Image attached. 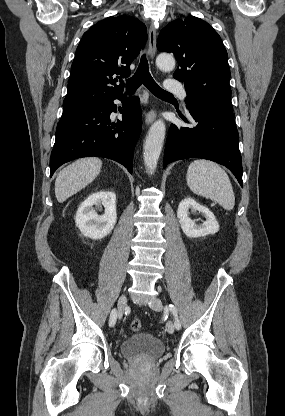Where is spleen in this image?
I'll return each instance as SVG.
<instances>
[{
  "label": "spleen",
  "instance_id": "3e777b00",
  "mask_svg": "<svg viewBox=\"0 0 285 416\" xmlns=\"http://www.w3.org/2000/svg\"><path fill=\"white\" fill-rule=\"evenodd\" d=\"M187 186L193 194L210 198L224 210H233L235 196L231 182L224 170L208 160H195L188 166Z\"/></svg>",
  "mask_w": 285,
  "mask_h": 416
}]
</instances>
